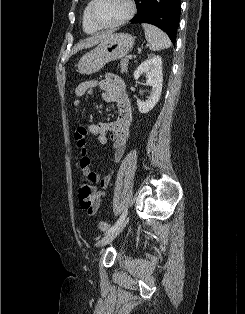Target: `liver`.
Instances as JSON below:
<instances>
[{
  "instance_id": "6515ba94",
  "label": "liver",
  "mask_w": 245,
  "mask_h": 314,
  "mask_svg": "<svg viewBox=\"0 0 245 314\" xmlns=\"http://www.w3.org/2000/svg\"><path fill=\"white\" fill-rule=\"evenodd\" d=\"M111 34H112V32H105V33H102L98 36L90 37V38L78 43L77 45H75L73 50H72V53L75 54L82 49H87V48L93 47L94 45H97L98 43H100L101 41H103L104 39L109 37Z\"/></svg>"
}]
</instances>
